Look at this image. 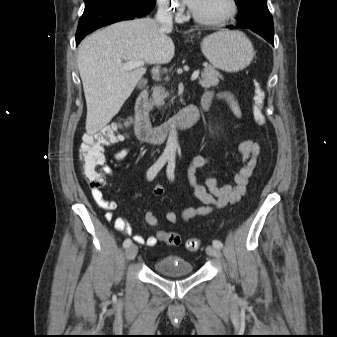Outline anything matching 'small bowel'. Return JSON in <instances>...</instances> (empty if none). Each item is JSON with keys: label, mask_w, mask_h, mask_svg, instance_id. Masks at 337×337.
<instances>
[{"label": "small bowel", "mask_w": 337, "mask_h": 337, "mask_svg": "<svg viewBox=\"0 0 337 337\" xmlns=\"http://www.w3.org/2000/svg\"><path fill=\"white\" fill-rule=\"evenodd\" d=\"M214 99L226 102L236 117L241 116V109L238 102L231 93L223 92L217 95L206 93L201 98V103L208 105L210 108ZM131 152V148L125 147L117 151L113 155V158L115 161H122L127 158ZM239 152L243 166L234 176L233 182L224 185H219L218 180L214 175H209L206 178L205 183L200 184L196 179V171L211 164L212 159L201 155H196L191 158L186 171L187 180L194 190L195 196L203 203V205L183 209L180 215L184 221H190L198 216L209 215L215 208H222L228 204L237 203L245 195L248 181L257 167L261 154V147L257 142L247 139L239 144ZM104 172L111 175L113 170L111 167L106 166ZM164 193L165 190L163 186L159 184L154 186L153 194L156 197H160L164 195ZM91 196L96 205L106 211L105 219L107 221H112L117 231L127 236H133V239L137 243L149 247L155 246L158 243L160 240L158 235L144 238L140 234H133L131 224L123 216H116L114 214V211L118 208L117 203L105 199L100 188L92 187ZM144 218L146 223L152 227H157L160 224L156 213L153 211H147ZM166 219L171 224L178 223V216L174 211L167 212Z\"/></svg>", "instance_id": "c3829d8e"}]
</instances>
